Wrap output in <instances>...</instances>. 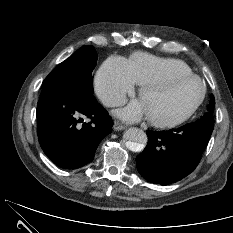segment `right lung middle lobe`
I'll return each mask as SVG.
<instances>
[{
  "instance_id": "obj_1",
  "label": "right lung middle lobe",
  "mask_w": 233,
  "mask_h": 233,
  "mask_svg": "<svg viewBox=\"0 0 233 233\" xmlns=\"http://www.w3.org/2000/svg\"><path fill=\"white\" fill-rule=\"evenodd\" d=\"M96 63L95 49L83 46L45 78L42 89L51 88L93 96L92 71Z\"/></svg>"
}]
</instances>
